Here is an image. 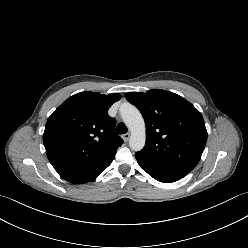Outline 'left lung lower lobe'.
<instances>
[{"label":"left lung lower lobe","instance_id":"obj_1","mask_svg":"<svg viewBox=\"0 0 248 248\" xmlns=\"http://www.w3.org/2000/svg\"><path fill=\"white\" fill-rule=\"evenodd\" d=\"M136 159H137L138 164L144 171H146L150 176H152L154 179L160 182H164V183L175 182V181L182 179L189 173V172L182 171V170H176V169L156 166V165L141 161L137 157Z\"/></svg>","mask_w":248,"mask_h":248}]
</instances>
